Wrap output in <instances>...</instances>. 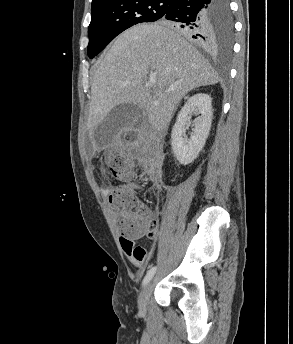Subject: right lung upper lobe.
Returning <instances> with one entry per match:
<instances>
[{"label": "right lung upper lobe", "instance_id": "1", "mask_svg": "<svg viewBox=\"0 0 293 344\" xmlns=\"http://www.w3.org/2000/svg\"><path fill=\"white\" fill-rule=\"evenodd\" d=\"M112 1H116V0H93L92 1V8L96 7L97 5L101 4V3H106V2H112ZM215 43H213L214 45Z\"/></svg>", "mask_w": 293, "mask_h": 344}]
</instances>
